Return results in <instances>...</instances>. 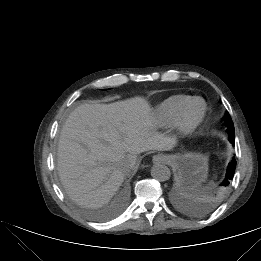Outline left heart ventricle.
Wrapping results in <instances>:
<instances>
[{
	"instance_id": "obj_1",
	"label": "left heart ventricle",
	"mask_w": 261,
	"mask_h": 261,
	"mask_svg": "<svg viewBox=\"0 0 261 261\" xmlns=\"http://www.w3.org/2000/svg\"><path fill=\"white\" fill-rule=\"evenodd\" d=\"M200 109H201V104H196L194 107H193V109H192V111H191V114L192 115H196L199 111H200Z\"/></svg>"
}]
</instances>
